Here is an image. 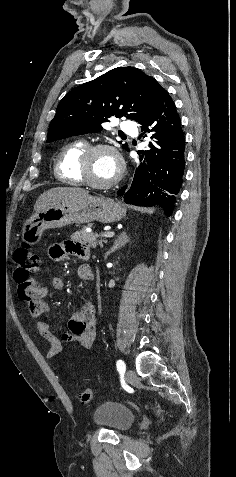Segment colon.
I'll return each mask as SVG.
<instances>
[{
    "mask_svg": "<svg viewBox=\"0 0 236 477\" xmlns=\"http://www.w3.org/2000/svg\"><path fill=\"white\" fill-rule=\"evenodd\" d=\"M53 245V244H52ZM14 279L20 291H30L33 288L34 275L39 271L40 257L32 251L29 245L18 247L14 253ZM94 395L90 387H83L78 392V399L83 403H88ZM154 410L160 413L158 406H153Z\"/></svg>",
    "mask_w": 236,
    "mask_h": 477,
    "instance_id": "5ec220e1",
    "label": "colon"
}]
</instances>
